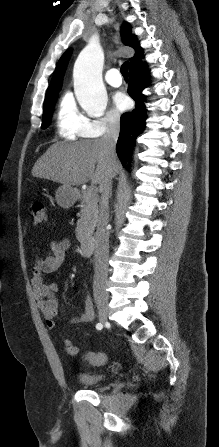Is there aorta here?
<instances>
[{
  "instance_id": "aorta-1",
  "label": "aorta",
  "mask_w": 219,
  "mask_h": 447,
  "mask_svg": "<svg viewBox=\"0 0 219 447\" xmlns=\"http://www.w3.org/2000/svg\"><path fill=\"white\" fill-rule=\"evenodd\" d=\"M104 54L96 43H89L79 54L73 71L74 88L81 108L92 116H101L107 107L102 82Z\"/></svg>"
}]
</instances>
